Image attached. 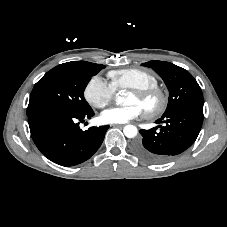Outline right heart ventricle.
Listing matches in <instances>:
<instances>
[{
	"instance_id": "obj_1",
	"label": "right heart ventricle",
	"mask_w": 227,
	"mask_h": 227,
	"mask_svg": "<svg viewBox=\"0 0 227 227\" xmlns=\"http://www.w3.org/2000/svg\"><path fill=\"white\" fill-rule=\"evenodd\" d=\"M107 76L114 91L120 89H145L158 85L157 78L152 73L137 68L112 70L108 72Z\"/></svg>"
}]
</instances>
